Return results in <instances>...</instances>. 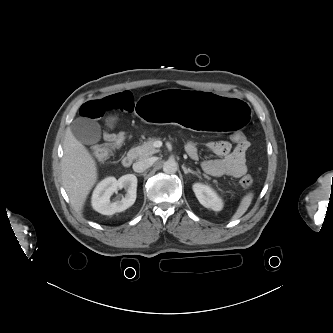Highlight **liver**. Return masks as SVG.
I'll list each match as a JSON object with an SVG mask.
<instances>
[{
  "label": "liver",
  "mask_w": 333,
  "mask_h": 333,
  "mask_svg": "<svg viewBox=\"0 0 333 333\" xmlns=\"http://www.w3.org/2000/svg\"><path fill=\"white\" fill-rule=\"evenodd\" d=\"M61 160L62 182L76 210H83L90 190L97 181V167L89 151L72 134H65Z\"/></svg>",
  "instance_id": "obj_1"
}]
</instances>
